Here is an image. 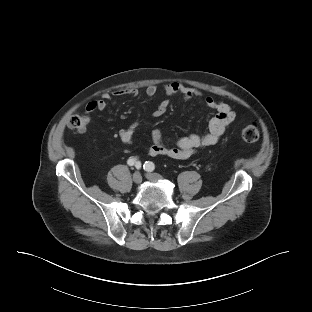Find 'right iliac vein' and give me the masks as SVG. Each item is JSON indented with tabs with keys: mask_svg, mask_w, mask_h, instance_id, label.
<instances>
[{
	"mask_svg": "<svg viewBox=\"0 0 312 312\" xmlns=\"http://www.w3.org/2000/svg\"><path fill=\"white\" fill-rule=\"evenodd\" d=\"M133 182L135 184H140L142 182V176H141V174L139 172H135L133 174Z\"/></svg>",
	"mask_w": 312,
	"mask_h": 312,
	"instance_id": "right-iliac-vein-1",
	"label": "right iliac vein"
}]
</instances>
